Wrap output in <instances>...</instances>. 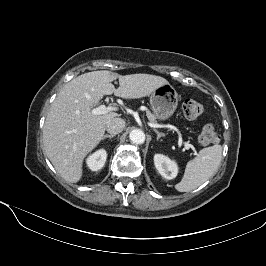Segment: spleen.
Returning <instances> with one entry per match:
<instances>
[{
    "instance_id": "3e777b00",
    "label": "spleen",
    "mask_w": 266,
    "mask_h": 266,
    "mask_svg": "<svg viewBox=\"0 0 266 266\" xmlns=\"http://www.w3.org/2000/svg\"><path fill=\"white\" fill-rule=\"evenodd\" d=\"M221 158V145L200 150L197 157L187 163L183 178L175 185V189L179 192H190L199 187L216 173Z\"/></svg>"
}]
</instances>
